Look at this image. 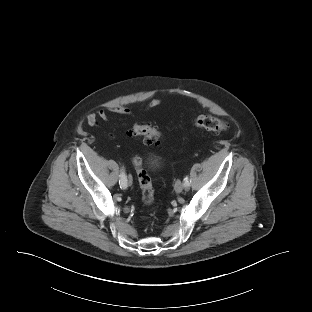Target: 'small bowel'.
Here are the masks:
<instances>
[{
    "instance_id": "small-bowel-1",
    "label": "small bowel",
    "mask_w": 312,
    "mask_h": 312,
    "mask_svg": "<svg viewBox=\"0 0 312 312\" xmlns=\"http://www.w3.org/2000/svg\"><path fill=\"white\" fill-rule=\"evenodd\" d=\"M161 104V100L154 99L152 100L148 106L147 109L155 108ZM117 114V115H123V116H132L133 113L130 108L125 106H111L107 109H100L96 113H91L87 116V124L91 127H98L100 121H107L109 119V114ZM111 136H113L111 134Z\"/></svg>"
}]
</instances>
